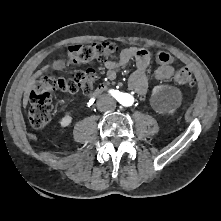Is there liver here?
<instances>
[{
	"mask_svg": "<svg viewBox=\"0 0 221 221\" xmlns=\"http://www.w3.org/2000/svg\"><path fill=\"white\" fill-rule=\"evenodd\" d=\"M48 67L49 66L46 65L41 70H38L29 80V82L26 86L25 92H24V98H23V107L24 108H26V106H27L30 91L34 89V84L36 82V78L41 76L44 71H47Z\"/></svg>",
	"mask_w": 221,
	"mask_h": 221,
	"instance_id": "liver-1",
	"label": "liver"
}]
</instances>
